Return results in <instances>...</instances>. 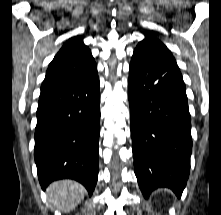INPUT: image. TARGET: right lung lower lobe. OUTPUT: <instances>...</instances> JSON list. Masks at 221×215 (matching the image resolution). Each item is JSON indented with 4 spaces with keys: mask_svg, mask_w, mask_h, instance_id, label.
<instances>
[{
    "mask_svg": "<svg viewBox=\"0 0 221 215\" xmlns=\"http://www.w3.org/2000/svg\"><path fill=\"white\" fill-rule=\"evenodd\" d=\"M99 106L97 70L40 96L34 156L43 190L52 181L69 178L91 196L98 178Z\"/></svg>",
    "mask_w": 221,
    "mask_h": 215,
    "instance_id": "1",
    "label": "right lung lower lobe"
}]
</instances>
